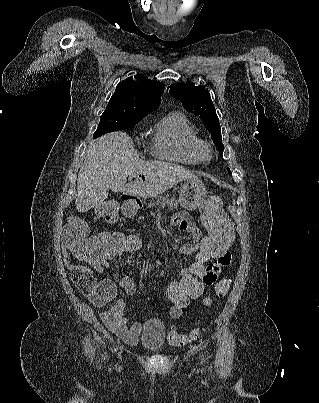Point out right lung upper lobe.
I'll return each mask as SVG.
<instances>
[{
	"mask_svg": "<svg viewBox=\"0 0 319 403\" xmlns=\"http://www.w3.org/2000/svg\"><path fill=\"white\" fill-rule=\"evenodd\" d=\"M164 84L141 75L121 81L112 95L108 107H122L133 113L147 115L158 108Z\"/></svg>",
	"mask_w": 319,
	"mask_h": 403,
	"instance_id": "obj_1",
	"label": "right lung upper lobe"
}]
</instances>
